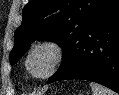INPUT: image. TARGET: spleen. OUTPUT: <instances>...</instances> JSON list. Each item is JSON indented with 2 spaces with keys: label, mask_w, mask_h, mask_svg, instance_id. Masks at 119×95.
Wrapping results in <instances>:
<instances>
[{
  "label": "spleen",
  "mask_w": 119,
  "mask_h": 95,
  "mask_svg": "<svg viewBox=\"0 0 119 95\" xmlns=\"http://www.w3.org/2000/svg\"><path fill=\"white\" fill-rule=\"evenodd\" d=\"M90 87L92 89V93L93 95H118L117 93H115L114 91L101 86L97 83H90Z\"/></svg>",
  "instance_id": "obj_1"
}]
</instances>
